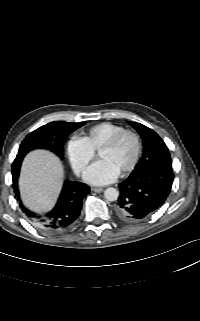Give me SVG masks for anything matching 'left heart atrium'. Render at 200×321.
Segmentation results:
<instances>
[{
	"label": "left heart atrium",
	"mask_w": 200,
	"mask_h": 321,
	"mask_svg": "<svg viewBox=\"0 0 200 321\" xmlns=\"http://www.w3.org/2000/svg\"><path fill=\"white\" fill-rule=\"evenodd\" d=\"M120 172L108 161L98 160L84 172L86 182L93 185H105L115 181Z\"/></svg>",
	"instance_id": "obj_1"
}]
</instances>
